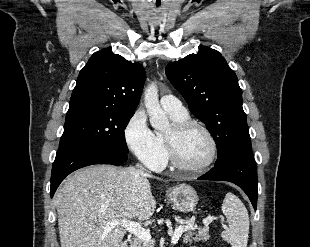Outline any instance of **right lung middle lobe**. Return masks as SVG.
Here are the masks:
<instances>
[{"instance_id":"right-lung-middle-lobe-1","label":"right lung middle lobe","mask_w":310,"mask_h":247,"mask_svg":"<svg viewBox=\"0 0 310 247\" xmlns=\"http://www.w3.org/2000/svg\"><path fill=\"white\" fill-rule=\"evenodd\" d=\"M133 115L112 109H69L59 148L81 144L127 154L124 130Z\"/></svg>"}]
</instances>
